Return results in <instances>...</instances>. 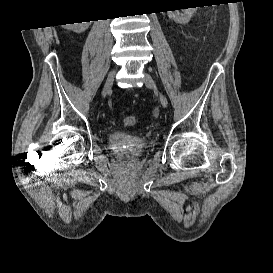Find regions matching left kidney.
Here are the masks:
<instances>
[{
	"label": "left kidney",
	"mask_w": 273,
	"mask_h": 273,
	"mask_svg": "<svg viewBox=\"0 0 273 273\" xmlns=\"http://www.w3.org/2000/svg\"><path fill=\"white\" fill-rule=\"evenodd\" d=\"M180 13L179 10L167 11L168 17L174 20L178 24H186L192 18L196 8L182 9Z\"/></svg>",
	"instance_id": "5707ae66"
}]
</instances>
